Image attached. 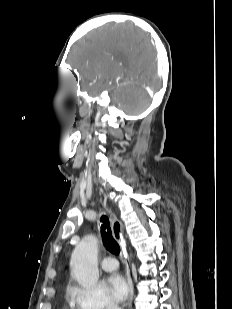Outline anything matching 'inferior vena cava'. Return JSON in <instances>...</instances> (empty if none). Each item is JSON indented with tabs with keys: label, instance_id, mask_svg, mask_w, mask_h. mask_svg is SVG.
Wrapping results in <instances>:
<instances>
[{
	"label": "inferior vena cava",
	"instance_id": "obj_1",
	"mask_svg": "<svg viewBox=\"0 0 232 309\" xmlns=\"http://www.w3.org/2000/svg\"><path fill=\"white\" fill-rule=\"evenodd\" d=\"M106 309H120V308L113 301H110Z\"/></svg>",
	"mask_w": 232,
	"mask_h": 309
}]
</instances>
